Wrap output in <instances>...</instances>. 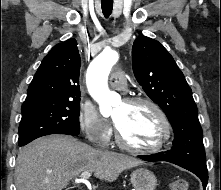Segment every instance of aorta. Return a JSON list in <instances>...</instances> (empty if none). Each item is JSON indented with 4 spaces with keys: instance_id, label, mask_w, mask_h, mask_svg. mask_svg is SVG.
Listing matches in <instances>:
<instances>
[{
    "instance_id": "762f6f07",
    "label": "aorta",
    "mask_w": 221,
    "mask_h": 190,
    "mask_svg": "<svg viewBox=\"0 0 221 190\" xmlns=\"http://www.w3.org/2000/svg\"><path fill=\"white\" fill-rule=\"evenodd\" d=\"M119 55L113 50H104L90 64L87 70V88L92 98L99 104L102 116L111 114L112 106L119 97L108 87V76L112 67L118 61Z\"/></svg>"
}]
</instances>
